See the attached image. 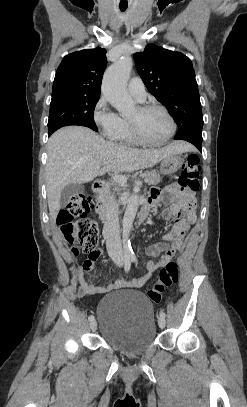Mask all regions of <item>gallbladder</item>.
Returning <instances> with one entry per match:
<instances>
[{"label": "gallbladder", "instance_id": "1", "mask_svg": "<svg viewBox=\"0 0 247 407\" xmlns=\"http://www.w3.org/2000/svg\"><path fill=\"white\" fill-rule=\"evenodd\" d=\"M84 191L82 184L72 183L67 185L61 192L60 206L65 207L73 196H76Z\"/></svg>", "mask_w": 247, "mask_h": 407}]
</instances>
